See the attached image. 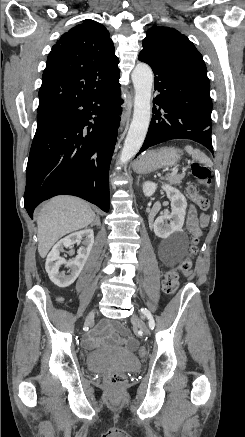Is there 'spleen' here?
Returning a JSON list of instances; mask_svg holds the SVG:
<instances>
[{
  "mask_svg": "<svg viewBox=\"0 0 245 437\" xmlns=\"http://www.w3.org/2000/svg\"><path fill=\"white\" fill-rule=\"evenodd\" d=\"M185 150H186V152H187L188 154H190V155L192 156V158L195 159V160H199V161H201V162H207V161H208L207 156H206L203 152H201V151L198 150V149H194L192 146L187 145V146L185 147Z\"/></svg>",
  "mask_w": 245,
  "mask_h": 437,
  "instance_id": "1",
  "label": "spleen"
}]
</instances>
